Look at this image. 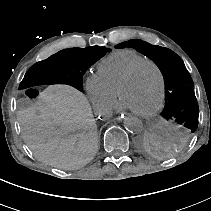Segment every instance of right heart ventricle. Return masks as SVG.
<instances>
[{
    "label": "right heart ventricle",
    "instance_id": "obj_1",
    "mask_svg": "<svg viewBox=\"0 0 211 211\" xmlns=\"http://www.w3.org/2000/svg\"><path fill=\"white\" fill-rule=\"evenodd\" d=\"M146 58L132 51L109 56L97 65V74L106 86L116 95L115 89L119 80L136 64Z\"/></svg>",
    "mask_w": 211,
    "mask_h": 211
}]
</instances>
